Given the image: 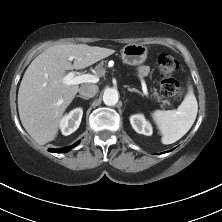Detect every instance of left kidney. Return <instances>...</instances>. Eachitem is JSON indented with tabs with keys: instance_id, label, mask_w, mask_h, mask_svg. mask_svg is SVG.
<instances>
[{
	"instance_id": "obj_1",
	"label": "left kidney",
	"mask_w": 222,
	"mask_h": 222,
	"mask_svg": "<svg viewBox=\"0 0 222 222\" xmlns=\"http://www.w3.org/2000/svg\"><path fill=\"white\" fill-rule=\"evenodd\" d=\"M130 123L134 130L139 134L146 136L152 135L153 129L151 124L141 114L132 115L130 117Z\"/></svg>"
}]
</instances>
